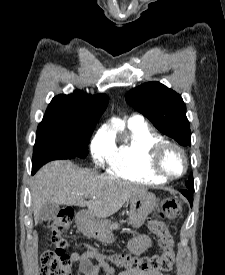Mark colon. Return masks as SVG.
I'll return each instance as SVG.
<instances>
[{
    "mask_svg": "<svg viewBox=\"0 0 225 275\" xmlns=\"http://www.w3.org/2000/svg\"><path fill=\"white\" fill-rule=\"evenodd\" d=\"M182 212L179 200L170 199L162 202L159 215L163 219L177 220ZM72 208H65L48 222V231L55 249H48L41 254L40 275H73L72 261L65 253L66 241L61 234L66 231L74 217ZM149 230L157 237L158 245L162 250L160 255L148 257H135L129 254H115L110 259L117 266L126 270L140 272H166L169 271L175 260L174 240L165 224L153 219L149 222Z\"/></svg>",
    "mask_w": 225,
    "mask_h": 275,
    "instance_id": "1",
    "label": "colon"
}]
</instances>
